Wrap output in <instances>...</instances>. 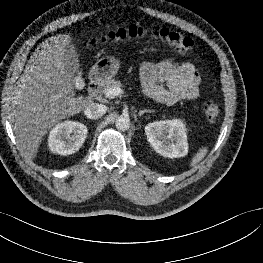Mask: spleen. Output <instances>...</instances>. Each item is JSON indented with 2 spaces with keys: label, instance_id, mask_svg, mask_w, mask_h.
Segmentation results:
<instances>
[{
  "label": "spleen",
  "instance_id": "spleen-1",
  "mask_svg": "<svg viewBox=\"0 0 263 263\" xmlns=\"http://www.w3.org/2000/svg\"><path fill=\"white\" fill-rule=\"evenodd\" d=\"M208 150L207 148H201L197 154L193 157L191 166H195L197 163H199L207 154Z\"/></svg>",
  "mask_w": 263,
  "mask_h": 263
}]
</instances>
